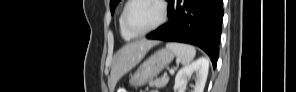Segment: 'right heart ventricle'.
Segmentation results:
<instances>
[{
	"label": "right heart ventricle",
	"mask_w": 296,
	"mask_h": 92,
	"mask_svg": "<svg viewBox=\"0 0 296 92\" xmlns=\"http://www.w3.org/2000/svg\"><path fill=\"white\" fill-rule=\"evenodd\" d=\"M124 10V9H123ZM123 10L122 12L120 13V16H119V19H118V23H119V29H120V33L122 35V37L125 39V40H131L134 38V36L130 35L124 25H123V21H122V15H123Z\"/></svg>",
	"instance_id": "obj_1"
}]
</instances>
